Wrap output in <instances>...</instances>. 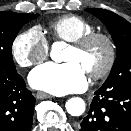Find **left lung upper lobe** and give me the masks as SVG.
<instances>
[{
  "label": "left lung upper lobe",
  "mask_w": 131,
  "mask_h": 131,
  "mask_svg": "<svg viewBox=\"0 0 131 131\" xmlns=\"http://www.w3.org/2000/svg\"><path fill=\"white\" fill-rule=\"evenodd\" d=\"M86 11L106 25L116 45L117 58L104 85L131 86V24L105 9L89 8Z\"/></svg>",
  "instance_id": "1"
}]
</instances>
